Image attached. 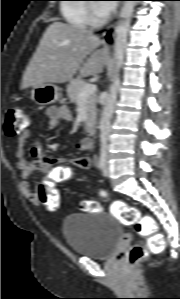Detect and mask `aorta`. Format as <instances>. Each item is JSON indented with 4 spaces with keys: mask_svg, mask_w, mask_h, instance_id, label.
Returning a JSON list of instances; mask_svg holds the SVG:
<instances>
[{
    "mask_svg": "<svg viewBox=\"0 0 180 299\" xmlns=\"http://www.w3.org/2000/svg\"><path fill=\"white\" fill-rule=\"evenodd\" d=\"M136 5V1H125L121 10V19L116 27V38H115V61L117 70L122 68L126 41L130 27L131 16ZM120 88V78L119 74L116 75L112 85L110 86V91L105 99L101 121H100V140L102 146H106L110 127L111 119L113 117L114 108L116 104L117 94Z\"/></svg>",
    "mask_w": 180,
    "mask_h": 299,
    "instance_id": "aorta-1",
    "label": "aorta"
}]
</instances>
